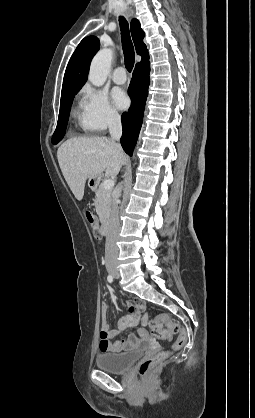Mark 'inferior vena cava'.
Instances as JSON below:
<instances>
[{
	"label": "inferior vena cava",
	"mask_w": 255,
	"mask_h": 418,
	"mask_svg": "<svg viewBox=\"0 0 255 418\" xmlns=\"http://www.w3.org/2000/svg\"><path fill=\"white\" fill-rule=\"evenodd\" d=\"M108 127L113 141H118L122 135V125L121 118L118 113H110L108 116ZM121 195V186L116 188L113 202H112V211L109 222V229L106 235L105 243V260L106 262L115 261L118 257V247L116 244L117 236L120 230L119 222V208H118V198Z\"/></svg>",
	"instance_id": "obj_1"
}]
</instances>
